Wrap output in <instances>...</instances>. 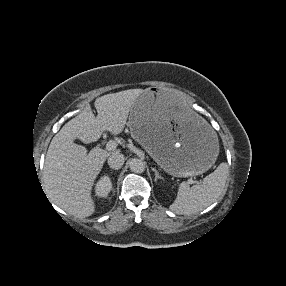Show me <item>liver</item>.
<instances>
[{"instance_id": "liver-1", "label": "liver", "mask_w": 286, "mask_h": 286, "mask_svg": "<svg viewBox=\"0 0 286 286\" xmlns=\"http://www.w3.org/2000/svg\"><path fill=\"white\" fill-rule=\"evenodd\" d=\"M142 92V89H130L97 98L94 103L97 117L87 107L53 137L43 171L45 191L53 203L78 218L95 212L92 187L107 157L115 152L99 147L88 152L74 140L88 144L96 142L104 131L120 134Z\"/></svg>"}]
</instances>
